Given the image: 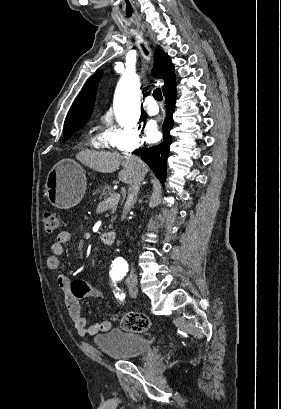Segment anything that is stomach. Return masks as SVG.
<instances>
[{
  "instance_id": "obj_1",
  "label": "stomach",
  "mask_w": 281,
  "mask_h": 409,
  "mask_svg": "<svg viewBox=\"0 0 281 409\" xmlns=\"http://www.w3.org/2000/svg\"><path fill=\"white\" fill-rule=\"evenodd\" d=\"M86 182L83 166L72 158H62L47 174L45 186L49 202L57 209L76 207L86 192Z\"/></svg>"
}]
</instances>
